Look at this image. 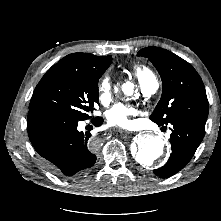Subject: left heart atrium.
<instances>
[{"instance_id": "left-heart-atrium-1", "label": "left heart atrium", "mask_w": 221, "mask_h": 221, "mask_svg": "<svg viewBox=\"0 0 221 221\" xmlns=\"http://www.w3.org/2000/svg\"><path fill=\"white\" fill-rule=\"evenodd\" d=\"M137 114L135 107L125 104H115L106 113L107 123L110 126L129 128L132 125V116Z\"/></svg>"}]
</instances>
